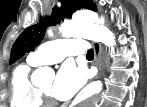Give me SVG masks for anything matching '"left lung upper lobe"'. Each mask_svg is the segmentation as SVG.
Listing matches in <instances>:
<instances>
[{
  "mask_svg": "<svg viewBox=\"0 0 147 107\" xmlns=\"http://www.w3.org/2000/svg\"><path fill=\"white\" fill-rule=\"evenodd\" d=\"M62 4L60 8L54 7L50 18L41 19L40 23L25 29L15 41L9 64L21 58L25 52L32 51L44 37L47 26L56 25L64 18H70L79 9L85 8L96 10L95 4L91 0H59Z\"/></svg>",
  "mask_w": 147,
  "mask_h": 107,
  "instance_id": "obj_1",
  "label": "left lung upper lobe"
}]
</instances>
